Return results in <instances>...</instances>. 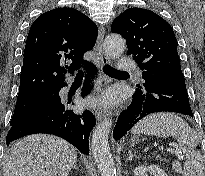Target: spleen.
I'll use <instances>...</instances> for the list:
<instances>
[{"label": "spleen", "instance_id": "obj_1", "mask_svg": "<svg viewBox=\"0 0 205 176\" xmlns=\"http://www.w3.org/2000/svg\"><path fill=\"white\" fill-rule=\"evenodd\" d=\"M132 133L158 137L174 136L186 157L182 175L203 176V157L200 151H196L199 136L182 118L173 113L151 114L139 121L132 128Z\"/></svg>", "mask_w": 205, "mask_h": 176}]
</instances>
